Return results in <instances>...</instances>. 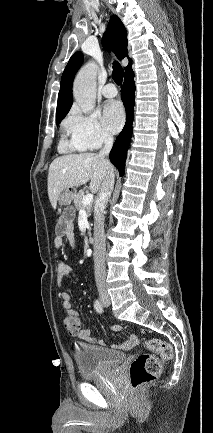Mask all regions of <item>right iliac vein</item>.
Here are the masks:
<instances>
[{"mask_svg": "<svg viewBox=\"0 0 213 433\" xmlns=\"http://www.w3.org/2000/svg\"><path fill=\"white\" fill-rule=\"evenodd\" d=\"M105 299H106V296L103 295V296H102V300L104 301Z\"/></svg>", "mask_w": 213, "mask_h": 433, "instance_id": "obj_1", "label": "right iliac vein"}]
</instances>
